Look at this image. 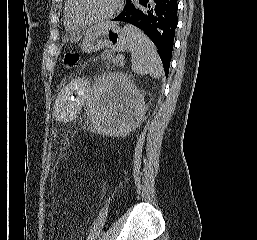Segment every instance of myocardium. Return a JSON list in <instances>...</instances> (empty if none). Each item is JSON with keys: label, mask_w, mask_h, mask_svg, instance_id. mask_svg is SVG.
Returning a JSON list of instances; mask_svg holds the SVG:
<instances>
[{"label": "myocardium", "mask_w": 257, "mask_h": 240, "mask_svg": "<svg viewBox=\"0 0 257 240\" xmlns=\"http://www.w3.org/2000/svg\"><path fill=\"white\" fill-rule=\"evenodd\" d=\"M121 1L122 0H115L112 9L108 13H106L105 15H103L101 17L94 18V19H83L76 12L77 0H68L69 14H70L72 20L75 23H77L78 25L83 26V27L93 26V25H97L102 22H105V21L109 20L110 18H112L115 15V13L118 11V9L120 8Z\"/></svg>", "instance_id": "obj_1"}]
</instances>
